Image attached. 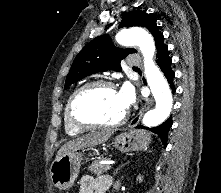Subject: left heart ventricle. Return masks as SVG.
I'll return each mask as SVG.
<instances>
[{
	"instance_id": "obj_1",
	"label": "left heart ventricle",
	"mask_w": 221,
	"mask_h": 193,
	"mask_svg": "<svg viewBox=\"0 0 221 193\" xmlns=\"http://www.w3.org/2000/svg\"><path fill=\"white\" fill-rule=\"evenodd\" d=\"M125 112L118 92L106 87H96L87 91L76 106L79 118L89 121L114 122Z\"/></svg>"
}]
</instances>
